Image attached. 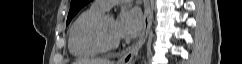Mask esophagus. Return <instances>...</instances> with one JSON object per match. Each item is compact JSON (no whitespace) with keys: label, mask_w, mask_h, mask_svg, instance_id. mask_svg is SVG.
<instances>
[{"label":"esophagus","mask_w":242,"mask_h":64,"mask_svg":"<svg viewBox=\"0 0 242 64\" xmlns=\"http://www.w3.org/2000/svg\"><path fill=\"white\" fill-rule=\"evenodd\" d=\"M150 25H151L150 5H149V0H146L144 26H143L142 34L134 45L126 49L124 55L118 61L119 64H129L131 62L133 56L139 51L141 46L145 43L150 29Z\"/></svg>","instance_id":"esophagus-1"}]
</instances>
